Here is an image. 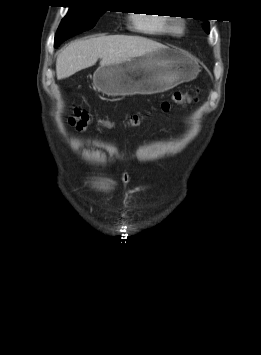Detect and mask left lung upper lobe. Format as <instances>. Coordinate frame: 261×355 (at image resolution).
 Masks as SVG:
<instances>
[{
  "label": "left lung upper lobe",
  "instance_id": "1",
  "mask_svg": "<svg viewBox=\"0 0 261 355\" xmlns=\"http://www.w3.org/2000/svg\"><path fill=\"white\" fill-rule=\"evenodd\" d=\"M203 29H204L207 33H209V23H205V24L203 25Z\"/></svg>",
  "mask_w": 261,
  "mask_h": 355
}]
</instances>
